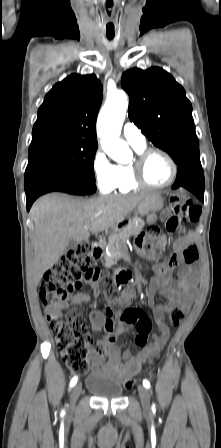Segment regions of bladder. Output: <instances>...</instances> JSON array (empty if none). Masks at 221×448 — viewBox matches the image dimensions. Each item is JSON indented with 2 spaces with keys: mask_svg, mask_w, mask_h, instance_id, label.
Returning <instances> with one entry per match:
<instances>
[{
  "mask_svg": "<svg viewBox=\"0 0 221 448\" xmlns=\"http://www.w3.org/2000/svg\"><path fill=\"white\" fill-rule=\"evenodd\" d=\"M85 386L94 397L100 399L116 400L123 394V385L120 381L101 373L88 375Z\"/></svg>",
  "mask_w": 221,
  "mask_h": 448,
  "instance_id": "1",
  "label": "bladder"
}]
</instances>
